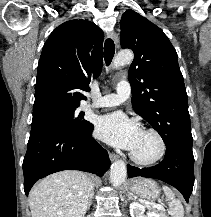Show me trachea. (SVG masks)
<instances>
[{"mask_svg":"<svg viewBox=\"0 0 211 217\" xmlns=\"http://www.w3.org/2000/svg\"><path fill=\"white\" fill-rule=\"evenodd\" d=\"M115 53V45L111 38L106 39L104 44V60L106 65L109 66L112 62Z\"/></svg>","mask_w":211,"mask_h":217,"instance_id":"1","label":"trachea"}]
</instances>
